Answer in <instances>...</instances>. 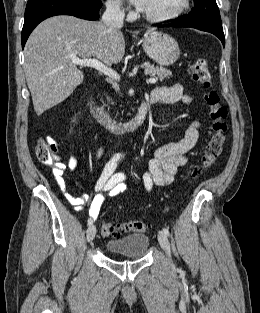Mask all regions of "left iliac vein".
<instances>
[{"instance_id":"1","label":"left iliac vein","mask_w":260,"mask_h":313,"mask_svg":"<svg viewBox=\"0 0 260 313\" xmlns=\"http://www.w3.org/2000/svg\"><path fill=\"white\" fill-rule=\"evenodd\" d=\"M158 241L162 249L165 251L167 256L170 258L171 250H170V243L168 241L167 236L163 232L158 233Z\"/></svg>"}]
</instances>
